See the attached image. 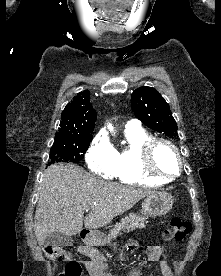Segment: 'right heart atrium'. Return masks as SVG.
I'll list each match as a JSON object with an SVG mask.
<instances>
[{
  "label": "right heart atrium",
  "instance_id": "d8ad5b80",
  "mask_svg": "<svg viewBox=\"0 0 221 276\" xmlns=\"http://www.w3.org/2000/svg\"><path fill=\"white\" fill-rule=\"evenodd\" d=\"M86 163L94 173L110 178L115 172L116 150L105 137L97 136L87 151Z\"/></svg>",
  "mask_w": 221,
  "mask_h": 276
}]
</instances>
